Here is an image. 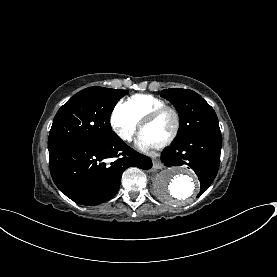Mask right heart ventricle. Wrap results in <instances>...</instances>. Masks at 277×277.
I'll return each mask as SVG.
<instances>
[{"mask_svg": "<svg viewBox=\"0 0 277 277\" xmlns=\"http://www.w3.org/2000/svg\"><path fill=\"white\" fill-rule=\"evenodd\" d=\"M167 103L148 94H135L125 100L121 108L132 115L138 122L152 109L165 106Z\"/></svg>", "mask_w": 277, "mask_h": 277, "instance_id": "obj_1", "label": "right heart ventricle"}]
</instances>
